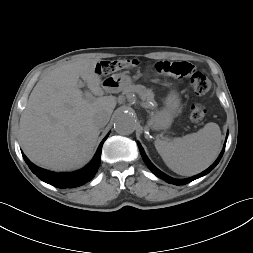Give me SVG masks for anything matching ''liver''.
Listing matches in <instances>:
<instances>
[{"label": "liver", "instance_id": "6515ba94", "mask_svg": "<svg viewBox=\"0 0 253 253\" xmlns=\"http://www.w3.org/2000/svg\"><path fill=\"white\" fill-rule=\"evenodd\" d=\"M99 59L68 62L44 75L33 88L21 114L19 138L34 163L52 170H68L86 162L100 134L98 114L111 116L116 97L102 96ZM82 78L99 97L87 101L79 89ZM108 91V90H107Z\"/></svg>", "mask_w": 253, "mask_h": 253}]
</instances>
